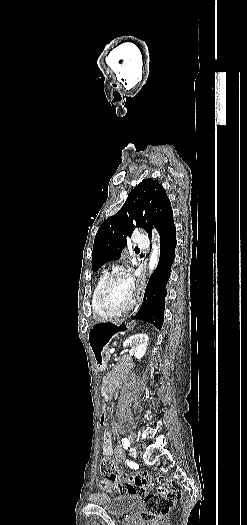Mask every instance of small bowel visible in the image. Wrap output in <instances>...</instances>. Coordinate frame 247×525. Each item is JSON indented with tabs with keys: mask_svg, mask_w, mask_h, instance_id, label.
Returning a JSON list of instances; mask_svg holds the SVG:
<instances>
[{
	"mask_svg": "<svg viewBox=\"0 0 247 525\" xmlns=\"http://www.w3.org/2000/svg\"><path fill=\"white\" fill-rule=\"evenodd\" d=\"M106 400H109L110 397L108 395L105 396ZM104 425V424H102ZM102 450L105 456L107 457H113L115 459L116 463H120L121 461V450L119 448L114 449L112 445V433L109 429H105L102 435ZM100 487L106 488L108 485V482L104 479L99 480ZM105 493L107 495H110L112 493V490L110 488H107L105 490Z\"/></svg>",
	"mask_w": 247,
	"mask_h": 525,
	"instance_id": "c3829d8e",
	"label": "small bowel"
}]
</instances>
